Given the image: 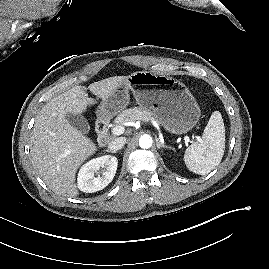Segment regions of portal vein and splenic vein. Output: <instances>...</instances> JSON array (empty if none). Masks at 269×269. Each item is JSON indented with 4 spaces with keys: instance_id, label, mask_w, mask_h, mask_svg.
Here are the masks:
<instances>
[{
    "instance_id": "obj_1",
    "label": "portal vein and splenic vein",
    "mask_w": 269,
    "mask_h": 269,
    "mask_svg": "<svg viewBox=\"0 0 269 269\" xmlns=\"http://www.w3.org/2000/svg\"><path fill=\"white\" fill-rule=\"evenodd\" d=\"M124 130L125 129H124L123 126H116V127H114L112 129V134L115 135V136H119V135L124 133ZM184 139H185L186 142H188V143L190 142V139H189L188 136H185Z\"/></svg>"
}]
</instances>
